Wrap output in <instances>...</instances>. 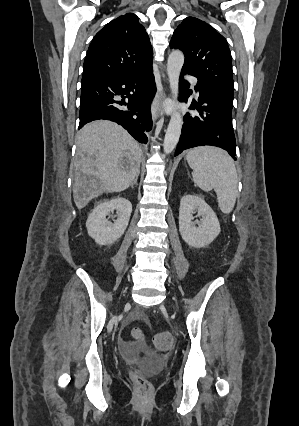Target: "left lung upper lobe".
<instances>
[{"mask_svg":"<svg viewBox=\"0 0 299 426\" xmlns=\"http://www.w3.org/2000/svg\"><path fill=\"white\" fill-rule=\"evenodd\" d=\"M170 47L183 51L182 69L201 83L233 101L231 53L226 39L204 21L187 17L173 33Z\"/></svg>","mask_w":299,"mask_h":426,"instance_id":"obj_1","label":"left lung upper lobe"}]
</instances>
